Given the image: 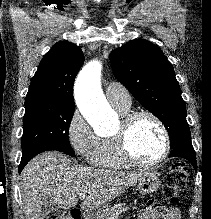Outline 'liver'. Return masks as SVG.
<instances>
[{
    "instance_id": "6515ba94",
    "label": "liver",
    "mask_w": 211,
    "mask_h": 219,
    "mask_svg": "<svg viewBox=\"0 0 211 219\" xmlns=\"http://www.w3.org/2000/svg\"><path fill=\"white\" fill-rule=\"evenodd\" d=\"M147 174V170L125 172L80 166L62 153H42L21 173L25 219H43L42 203L48 198L55 200L59 208L75 207L80 193L88 194L80 205L82 209H99Z\"/></svg>"
}]
</instances>
